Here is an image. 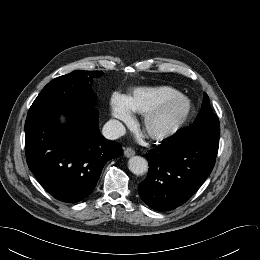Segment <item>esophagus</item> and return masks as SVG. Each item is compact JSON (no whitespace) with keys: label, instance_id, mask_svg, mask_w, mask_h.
<instances>
[{"label":"esophagus","instance_id":"esophagus-1","mask_svg":"<svg viewBox=\"0 0 260 260\" xmlns=\"http://www.w3.org/2000/svg\"><path fill=\"white\" fill-rule=\"evenodd\" d=\"M124 155H125L126 157H132V156L135 155V151H134V149H132V148H130V147L125 148V149H124Z\"/></svg>","mask_w":260,"mask_h":260}]
</instances>
